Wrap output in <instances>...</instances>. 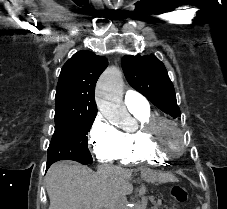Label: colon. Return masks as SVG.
I'll return each mask as SVG.
<instances>
[{
	"mask_svg": "<svg viewBox=\"0 0 227 209\" xmlns=\"http://www.w3.org/2000/svg\"><path fill=\"white\" fill-rule=\"evenodd\" d=\"M172 193L174 198L180 202L183 203L187 200L188 193L185 187L183 186H176L172 189Z\"/></svg>",
	"mask_w": 227,
	"mask_h": 209,
	"instance_id": "obj_1",
	"label": "colon"
}]
</instances>
